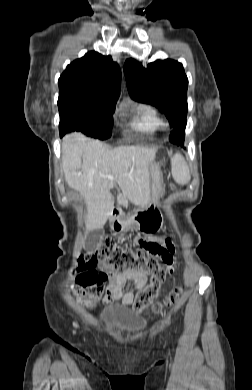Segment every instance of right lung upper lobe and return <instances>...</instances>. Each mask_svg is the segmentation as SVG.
<instances>
[{"label":"right lung upper lobe","mask_w":252,"mask_h":390,"mask_svg":"<svg viewBox=\"0 0 252 390\" xmlns=\"http://www.w3.org/2000/svg\"><path fill=\"white\" fill-rule=\"evenodd\" d=\"M121 72L111 56L88 52L70 63L58 80V107L103 105L116 107Z\"/></svg>","instance_id":"obj_1"}]
</instances>
